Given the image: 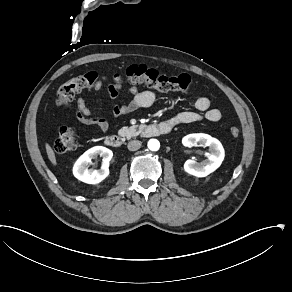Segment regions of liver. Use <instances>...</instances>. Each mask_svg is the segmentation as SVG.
Here are the masks:
<instances>
[{
  "mask_svg": "<svg viewBox=\"0 0 292 292\" xmlns=\"http://www.w3.org/2000/svg\"><path fill=\"white\" fill-rule=\"evenodd\" d=\"M45 147H46V152H47L49 160L51 161V163L53 165H56L57 162H56V157H55L54 151L52 150V148L50 147V145L48 143H46Z\"/></svg>",
  "mask_w": 292,
  "mask_h": 292,
  "instance_id": "1",
  "label": "liver"
}]
</instances>
